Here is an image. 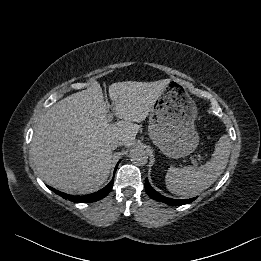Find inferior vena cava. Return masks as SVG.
Here are the masks:
<instances>
[{"mask_svg": "<svg viewBox=\"0 0 261 261\" xmlns=\"http://www.w3.org/2000/svg\"><path fill=\"white\" fill-rule=\"evenodd\" d=\"M121 145H122V141L119 139H116V140L112 141L111 148L116 149L118 146H121Z\"/></svg>", "mask_w": 261, "mask_h": 261, "instance_id": "602c4592", "label": "inferior vena cava"}]
</instances>
